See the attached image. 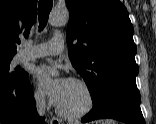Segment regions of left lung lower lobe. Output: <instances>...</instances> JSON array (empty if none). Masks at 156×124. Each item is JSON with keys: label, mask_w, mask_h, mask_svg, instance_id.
I'll return each mask as SVG.
<instances>
[{"label": "left lung lower lobe", "mask_w": 156, "mask_h": 124, "mask_svg": "<svg viewBox=\"0 0 156 124\" xmlns=\"http://www.w3.org/2000/svg\"><path fill=\"white\" fill-rule=\"evenodd\" d=\"M105 118L128 124H145L140 108V100L124 95H110L93 103L92 110L81 121L89 122Z\"/></svg>", "instance_id": "obj_1"}]
</instances>
